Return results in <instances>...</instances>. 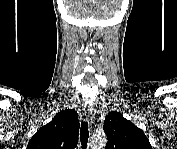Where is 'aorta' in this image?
<instances>
[{
  "label": "aorta",
  "instance_id": "762f6f07",
  "mask_svg": "<svg viewBox=\"0 0 177 149\" xmlns=\"http://www.w3.org/2000/svg\"><path fill=\"white\" fill-rule=\"evenodd\" d=\"M107 139L104 135H96L90 141L91 149H101L105 146Z\"/></svg>",
  "mask_w": 177,
  "mask_h": 149
}]
</instances>
